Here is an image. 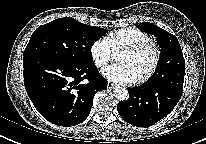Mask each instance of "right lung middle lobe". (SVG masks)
Returning a JSON list of instances; mask_svg holds the SVG:
<instances>
[{
	"label": "right lung middle lobe",
	"instance_id": "dd1d6c3e",
	"mask_svg": "<svg viewBox=\"0 0 206 144\" xmlns=\"http://www.w3.org/2000/svg\"><path fill=\"white\" fill-rule=\"evenodd\" d=\"M107 30L67 17L39 26L24 50V57L43 55L77 64L91 63L90 48Z\"/></svg>",
	"mask_w": 206,
	"mask_h": 144
}]
</instances>
